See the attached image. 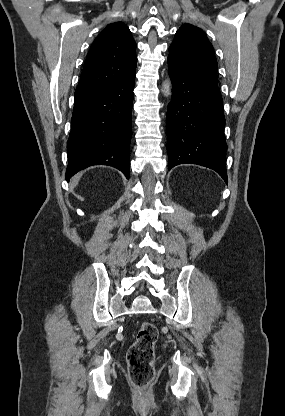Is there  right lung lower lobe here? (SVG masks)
Returning a JSON list of instances; mask_svg holds the SVG:
<instances>
[{"instance_id": "98d812e1", "label": "right lung lower lobe", "mask_w": 285, "mask_h": 416, "mask_svg": "<svg viewBox=\"0 0 285 416\" xmlns=\"http://www.w3.org/2000/svg\"><path fill=\"white\" fill-rule=\"evenodd\" d=\"M135 74L107 90L75 100L67 142V181L92 165L113 166L129 178Z\"/></svg>"}]
</instances>
